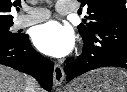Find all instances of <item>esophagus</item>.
<instances>
[{"mask_svg":"<svg viewBox=\"0 0 127 92\" xmlns=\"http://www.w3.org/2000/svg\"><path fill=\"white\" fill-rule=\"evenodd\" d=\"M53 79H54L55 86L62 85L64 80V70L63 67L58 63L54 64Z\"/></svg>","mask_w":127,"mask_h":92,"instance_id":"34e87169","label":"esophagus"}]
</instances>
